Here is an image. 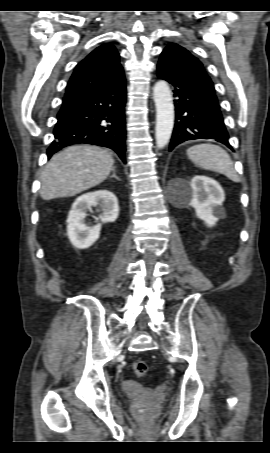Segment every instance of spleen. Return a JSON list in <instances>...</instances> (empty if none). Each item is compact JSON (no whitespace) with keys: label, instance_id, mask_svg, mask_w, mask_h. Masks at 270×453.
I'll return each instance as SVG.
<instances>
[{"label":"spleen","instance_id":"1","mask_svg":"<svg viewBox=\"0 0 270 453\" xmlns=\"http://www.w3.org/2000/svg\"><path fill=\"white\" fill-rule=\"evenodd\" d=\"M187 156L199 168L221 173L234 182L240 181L229 154L218 145H194L187 150Z\"/></svg>","mask_w":270,"mask_h":453}]
</instances>
